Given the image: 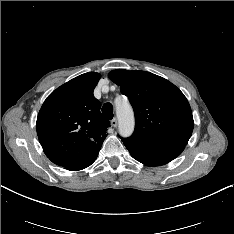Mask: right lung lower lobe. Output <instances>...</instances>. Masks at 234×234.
<instances>
[{"label": "right lung lower lobe", "mask_w": 234, "mask_h": 234, "mask_svg": "<svg viewBox=\"0 0 234 234\" xmlns=\"http://www.w3.org/2000/svg\"><path fill=\"white\" fill-rule=\"evenodd\" d=\"M99 153V152H98ZM98 153L95 154L94 156H92L91 158H89L87 161L83 162V163H79L77 165H74L72 167H69V168H66L68 170H71V171H76V170H81V169H84L88 166H90L94 161L95 159L97 158L98 156Z\"/></svg>", "instance_id": "98d812e1"}]
</instances>
